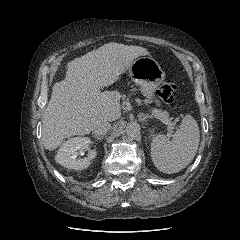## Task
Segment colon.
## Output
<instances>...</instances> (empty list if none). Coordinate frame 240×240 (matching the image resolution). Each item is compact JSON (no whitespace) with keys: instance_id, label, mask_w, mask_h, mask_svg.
<instances>
[{"instance_id":"obj_1","label":"colon","mask_w":240,"mask_h":240,"mask_svg":"<svg viewBox=\"0 0 240 240\" xmlns=\"http://www.w3.org/2000/svg\"><path fill=\"white\" fill-rule=\"evenodd\" d=\"M175 89V84L165 83L157 90V95L162 101L166 103H173Z\"/></svg>"}]
</instances>
